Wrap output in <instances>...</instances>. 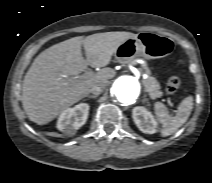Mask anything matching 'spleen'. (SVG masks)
<instances>
[{
  "label": "spleen",
  "instance_id": "3e777b00",
  "mask_svg": "<svg viewBox=\"0 0 212 183\" xmlns=\"http://www.w3.org/2000/svg\"><path fill=\"white\" fill-rule=\"evenodd\" d=\"M154 109L159 122L162 124L161 135L166 137L175 133L187 121L193 109V97H186L178 106L177 114L172 118L163 103L156 102Z\"/></svg>",
  "mask_w": 212,
  "mask_h": 183
}]
</instances>
